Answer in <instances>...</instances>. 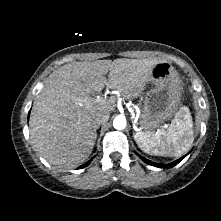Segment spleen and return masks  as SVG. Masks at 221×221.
<instances>
[{
  "label": "spleen",
  "mask_w": 221,
  "mask_h": 221,
  "mask_svg": "<svg viewBox=\"0 0 221 221\" xmlns=\"http://www.w3.org/2000/svg\"><path fill=\"white\" fill-rule=\"evenodd\" d=\"M134 139L138 147L145 153L181 156L190 149L194 141L191 113L187 107H182L175 114V118L165 133L138 132L134 135Z\"/></svg>",
  "instance_id": "1"
}]
</instances>
